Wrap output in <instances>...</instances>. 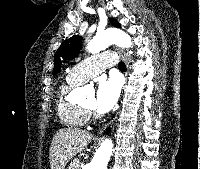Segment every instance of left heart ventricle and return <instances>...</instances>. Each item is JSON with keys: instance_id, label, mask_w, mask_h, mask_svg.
I'll return each mask as SVG.
<instances>
[{"instance_id": "b2bd125f", "label": "left heart ventricle", "mask_w": 200, "mask_h": 169, "mask_svg": "<svg viewBox=\"0 0 200 169\" xmlns=\"http://www.w3.org/2000/svg\"><path fill=\"white\" fill-rule=\"evenodd\" d=\"M87 106H92V107H95V96L92 95L88 101H87Z\"/></svg>"}]
</instances>
